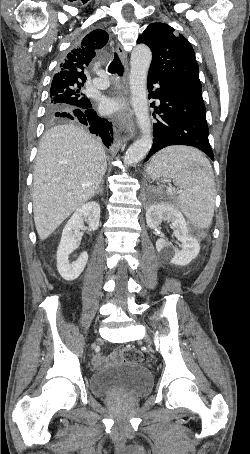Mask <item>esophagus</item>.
<instances>
[{
	"label": "esophagus",
	"instance_id": "1",
	"mask_svg": "<svg viewBox=\"0 0 250 454\" xmlns=\"http://www.w3.org/2000/svg\"><path fill=\"white\" fill-rule=\"evenodd\" d=\"M117 52L118 55L124 65L125 68V73L121 79L120 85H121V96L126 103V108L125 110L120 113L116 120L119 125L123 127V129L128 132L129 136H133L136 130L135 123L133 120V112L130 109L128 102H129V89H128V74H129V69H128V62H127V52L124 50L123 46L121 44L117 45Z\"/></svg>",
	"mask_w": 250,
	"mask_h": 454
}]
</instances>
